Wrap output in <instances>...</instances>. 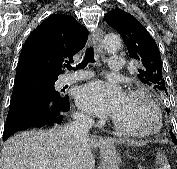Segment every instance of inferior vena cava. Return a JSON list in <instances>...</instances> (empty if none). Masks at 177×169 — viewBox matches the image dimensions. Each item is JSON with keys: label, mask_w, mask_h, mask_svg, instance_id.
<instances>
[{"label": "inferior vena cava", "mask_w": 177, "mask_h": 169, "mask_svg": "<svg viewBox=\"0 0 177 169\" xmlns=\"http://www.w3.org/2000/svg\"><path fill=\"white\" fill-rule=\"evenodd\" d=\"M93 123L94 121L90 116L79 115L75 117L74 122L63 128V132L72 138H85L88 137V132Z\"/></svg>", "instance_id": "602c4592"}]
</instances>
